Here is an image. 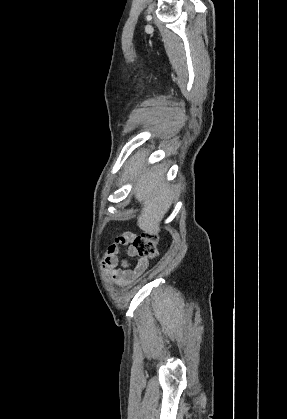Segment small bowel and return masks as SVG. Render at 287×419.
<instances>
[{
	"instance_id": "1",
	"label": "small bowel",
	"mask_w": 287,
	"mask_h": 419,
	"mask_svg": "<svg viewBox=\"0 0 287 419\" xmlns=\"http://www.w3.org/2000/svg\"><path fill=\"white\" fill-rule=\"evenodd\" d=\"M134 234L131 232L115 233L113 242L106 248L102 264L112 279L121 285H130L143 272L146 266L144 260H139L135 267H131L127 259L120 260L119 253L123 245L128 246L127 255L135 257L130 243Z\"/></svg>"
}]
</instances>
